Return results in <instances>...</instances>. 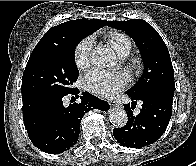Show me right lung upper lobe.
I'll return each instance as SVG.
<instances>
[{"label": "right lung upper lobe", "mask_w": 196, "mask_h": 166, "mask_svg": "<svg viewBox=\"0 0 196 166\" xmlns=\"http://www.w3.org/2000/svg\"><path fill=\"white\" fill-rule=\"evenodd\" d=\"M108 23L107 20H88V19H77L67 21L65 23L54 26L48 30V32L41 38L39 42H60L63 41L67 35V31L70 27H79L83 29L87 35L95 32L102 28Z\"/></svg>", "instance_id": "right-lung-upper-lobe-1"}]
</instances>
